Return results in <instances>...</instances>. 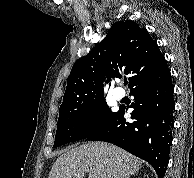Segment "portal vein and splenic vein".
Instances as JSON below:
<instances>
[{"label": "portal vein and splenic vein", "instance_id": "portal-vein-and-splenic-vein-1", "mask_svg": "<svg viewBox=\"0 0 194 178\" xmlns=\"http://www.w3.org/2000/svg\"><path fill=\"white\" fill-rule=\"evenodd\" d=\"M76 178H83V175H77Z\"/></svg>", "mask_w": 194, "mask_h": 178}]
</instances>
